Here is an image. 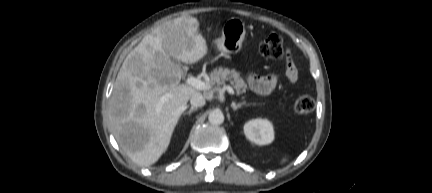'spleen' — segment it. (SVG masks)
<instances>
[{
  "instance_id": "1",
  "label": "spleen",
  "mask_w": 432,
  "mask_h": 193,
  "mask_svg": "<svg viewBox=\"0 0 432 193\" xmlns=\"http://www.w3.org/2000/svg\"><path fill=\"white\" fill-rule=\"evenodd\" d=\"M287 157H284L282 160H281V164H283V163H285L286 161H287Z\"/></svg>"
}]
</instances>
